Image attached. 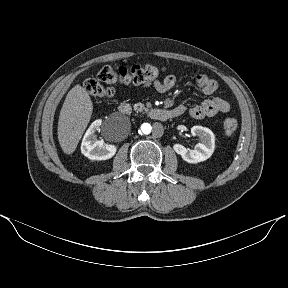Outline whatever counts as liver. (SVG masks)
Segmentation results:
<instances>
[{"label":"liver","instance_id":"liver-1","mask_svg":"<svg viewBox=\"0 0 288 288\" xmlns=\"http://www.w3.org/2000/svg\"><path fill=\"white\" fill-rule=\"evenodd\" d=\"M93 104L87 91L75 85L67 94L58 120V141L66 154H72L90 121Z\"/></svg>","mask_w":288,"mask_h":288}]
</instances>
